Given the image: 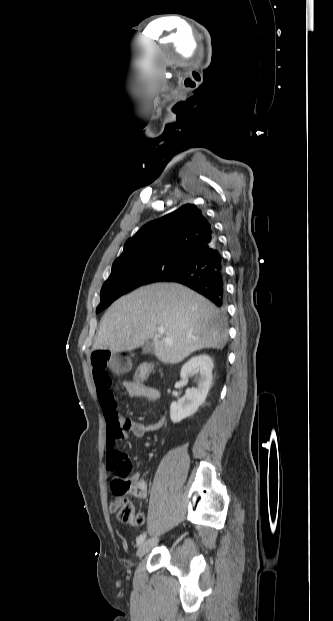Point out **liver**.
<instances>
[{"mask_svg": "<svg viewBox=\"0 0 333 621\" xmlns=\"http://www.w3.org/2000/svg\"><path fill=\"white\" fill-rule=\"evenodd\" d=\"M224 321L211 302L192 290L156 283L112 304L101 320L93 350L126 352L152 339L156 357L174 364L196 350L222 349L228 339ZM159 328H164L163 335Z\"/></svg>", "mask_w": 333, "mask_h": 621, "instance_id": "1", "label": "liver"}]
</instances>
